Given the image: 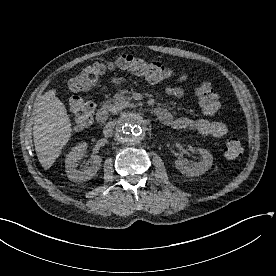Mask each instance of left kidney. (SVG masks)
I'll list each match as a JSON object with an SVG mask.
<instances>
[{
  "label": "left kidney",
  "mask_w": 276,
  "mask_h": 276,
  "mask_svg": "<svg viewBox=\"0 0 276 276\" xmlns=\"http://www.w3.org/2000/svg\"><path fill=\"white\" fill-rule=\"evenodd\" d=\"M197 150L201 155V160L199 162L187 164L185 161L176 160V169H178L182 174H185L186 176H197L208 171L213 163L212 155L206 149L198 148Z\"/></svg>",
  "instance_id": "1"
}]
</instances>
